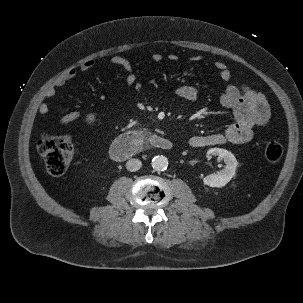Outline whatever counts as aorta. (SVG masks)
<instances>
[{
  "mask_svg": "<svg viewBox=\"0 0 303 303\" xmlns=\"http://www.w3.org/2000/svg\"><path fill=\"white\" fill-rule=\"evenodd\" d=\"M151 164L155 171H164L168 167V159L163 155L156 156L152 159Z\"/></svg>",
  "mask_w": 303,
  "mask_h": 303,
  "instance_id": "762f6f07",
  "label": "aorta"
}]
</instances>
